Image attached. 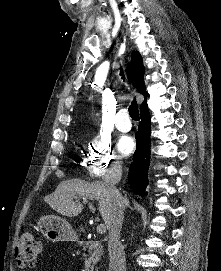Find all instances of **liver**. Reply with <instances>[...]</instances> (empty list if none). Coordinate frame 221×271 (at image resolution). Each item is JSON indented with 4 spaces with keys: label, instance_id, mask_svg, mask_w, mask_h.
<instances>
[{
    "label": "liver",
    "instance_id": "6515ba94",
    "mask_svg": "<svg viewBox=\"0 0 221 271\" xmlns=\"http://www.w3.org/2000/svg\"><path fill=\"white\" fill-rule=\"evenodd\" d=\"M95 197L98 201V209L104 219L105 225H109L112 217L114 195L108 191L107 185L103 181H85V179H71V181H61L57 189L44 197L52 209L67 215L75 217L81 213L84 205L75 197ZM125 205H129L128 199H125Z\"/></svg>",
    "mask_w": 221,
    "mask_h": 271
}]
</instances>
